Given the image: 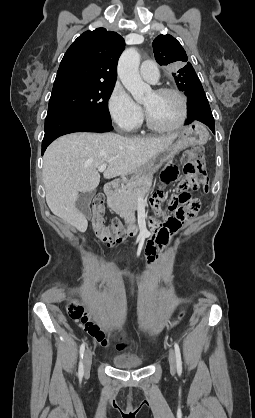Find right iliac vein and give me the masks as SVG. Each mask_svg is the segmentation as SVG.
Listing matches in <instances>:
<instances>
[{
    "label": "right iliac vein",
    "instance_id": "63e3f726",
    "mask_svg": "<svg viewBox=\"0 0 255 418\" xmlns=\"http://www.w3.org/2000/svg\"><path fill=\"white\" fill-rule=\"evenodd\" d=\"M92 363V351L91 349H87L84 355V372L87 375L90 372Z\"/></svg>",
    "mask_w": 255,
    "mask_h": 418
}]
</instances>
